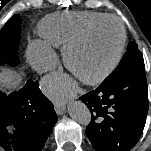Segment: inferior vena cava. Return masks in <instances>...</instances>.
<instances>
[{
    "label": "inferior vena cava",
    "mask_w": 151,
    "mask_h": 151,
    "mask_svg": "<svg viewBox=\"0 0 151 151\" xmlns=\"http://www.w3.org/2000/svg\"><path fill=\"white\" fill-rule=\"evenodd\" d=\"M56 67V63H55V61L54 60H46L45 62H44V70L45 71H48V70H52V69H54Z\"/></svg>",
    "instance_id": "obj_1"
}]
</instances>
